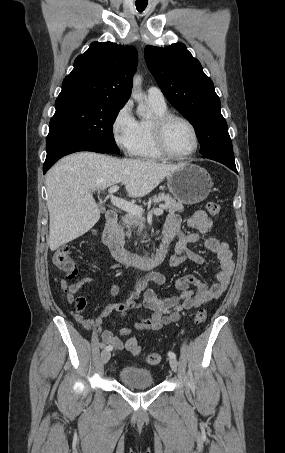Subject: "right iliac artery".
<instances>
[{"label":"right iliac artery","instance_id":"82829eb1","mask_svg":"<svg viewBox=\"0 0 285 453\" xmlns=\"http://www.w3.org/2000/svg\"><path fill=\"white\" fill-rule=\"evenodd\" d=\"M104 346H105V345H104V344L102 343V347H104ZM105 350H108V351H110V350H112V348H111V347H109V346H106V347H105Z\"/></svg>","mask_w":285,"mask_h":453}]
</instances>
